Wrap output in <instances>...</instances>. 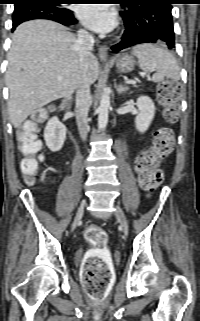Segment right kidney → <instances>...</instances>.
Returning a JSON list of instances; mask_svg holds the SVG:
<instances>
[{
  "instance_id": "1",
  "label": "right kidney",
  "mask_w": 200,
  "mask_h": 321,
  "mask_svg": "<svg viewBox=\"0 0 200 321\" xmlns=\"http://www.w3.org/2000/svg\"><path fill=\"white\" fill-rule=\"evenodd\" d=\"M66 127L57 117H52L46 124L44 139L47 147L52 151H59L66 139Z\"/></svg>"
}]
</instances>
